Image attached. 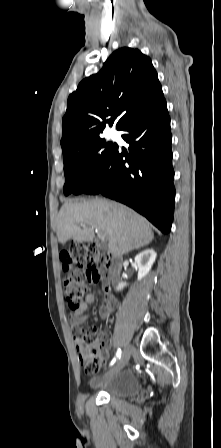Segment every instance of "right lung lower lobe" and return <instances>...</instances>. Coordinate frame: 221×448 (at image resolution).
<instances>
[{"instance_id": "98d812e1", "label": "right lung lower lobe", "mask_w": 221, "mask_h": 448, "mask_svg": "<svg viewBox=\"0 0 221 448\" xmlns=\"http://www.w3.org/2000/svg\"><path fill=\"white\" fill-rule=\"evenodd\" d=\"M120 130L129 154L118 146L105 169L84 193L122 202L161 232L171 230L173 185L170 118L163 94L132 114Z\"/></svg>"}]
</instances>
